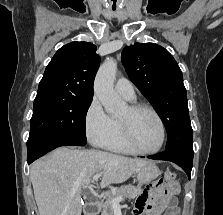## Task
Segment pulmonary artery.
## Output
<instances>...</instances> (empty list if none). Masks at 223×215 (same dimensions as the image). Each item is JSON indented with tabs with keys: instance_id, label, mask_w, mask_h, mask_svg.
Listing matches in <instances>:
<instances>
[{
	"instance_id": "1",
	"label": "pulmonary artery",
	"mask_w": 223,
	"mask_h": 215,
	"mask_svg": "<svg viewBox=\"0 0 223 215\" xmlns=\"http://www.w3.org/2000/svg\"><path fill=\"white\" fill-rule=\"evenodd\" d=\"M116 92L122 97L126 98L129 101H133L135 99V92L132 83L124 78H119L115 83Z\"/></svg>"
}]
</instances>
